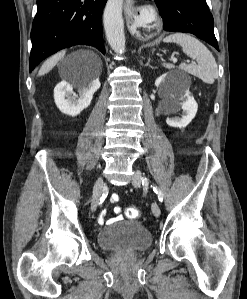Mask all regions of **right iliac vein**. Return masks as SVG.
<instances>
[{
  "label": "right iliac vein",
  "mask_w": 247,
  "mask_h": 299,
  "mask_svg": "<svg viewBox=\"0 0 247 299\" xmlns=\"http://www.w3.org/2000/svg\"><path fill=\"white\" fill-rule=\"evenodd\" d=\"M104 180L102 177L98 178L97 181L94 184L93 187V198H92V202H91V209L92 211H95L97 209L101 194H102V190L104 187Z\"/></svg>",
  "instance_id": "1"
}]
</instances>
